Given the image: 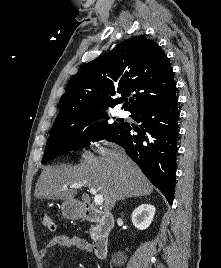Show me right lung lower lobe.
<instances>
[{
	"label": "right lung lower lobe",
	"mask_w": 221,
	"mask_h": 268,
	"mask_svg": "<svg viewBox=\"0 0 221 268\" xmlns=\"http://www.w3.org/2000/svg\"><path fill=\"white\" fill-rule=\"evenodd\" d=\"M176 94L135 110L131 117L141 123H124L106 138L122 146L170 204L175 192V167L179 133ZM137 132V134L134 133Z\"/></svg>",
	"instance_id": "98d812e1"
}]
</instances>
